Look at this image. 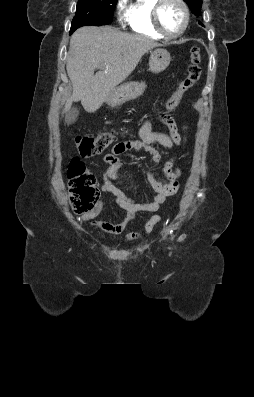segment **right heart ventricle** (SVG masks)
<instances>
[{"mask_svg":"<svg viewBox=\"0 0 254 397\" xmlns=\"http://www.w3.org/2000/svg\"><path fill=\"white\" fill-rule=\"evenodd\" d=\"M157 0H134L128 7L127 22L131 30L152 39H162L154 28L152 10Z\"/></svg>","mask_w":254,"mask_h":397,"instance_id":"obj_1","label":"right heart ventricle"}]
</instances>
